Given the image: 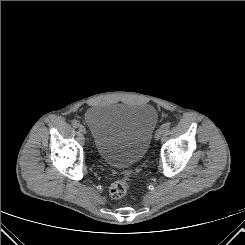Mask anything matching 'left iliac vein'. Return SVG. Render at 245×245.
<instances>
[{"instance_id":"4c4485c4","label":"left iliac vein","mask_w":245,"mask_h":245,"mask_svg":"<svg viewBox=\"0 0 245 245\" xmlns=\"http://www.w3.org/2000/svg\"><path fill=\"white\" fill-rule=\"evenodd\" d=\"M164 130L162 128H159L156 133H155V139L159 140L161 138V136L163 135Z\"/></svg>"}]
</instances>
